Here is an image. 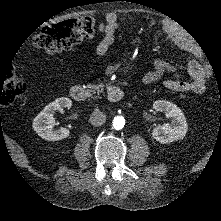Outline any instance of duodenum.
<instances>
[{"mask_svg":"<svg viewBox=\"0 0 221 221\" xmlns=\"http://www.w3.org/2000/svg\"><path fill=\"white\" fill-rule=\"evenodd\" d=\"M106 93L108 100L112 103H117L123 99V91L117 85L108 83ZM69 95L74 101L81 102L86 99L87 91L83 86L75 85L70 89Z\"/></svg>","mask_w":221,"mask_h":221,"instance_id":"duodenum-1","label":"duodenum"}]
</instances>
